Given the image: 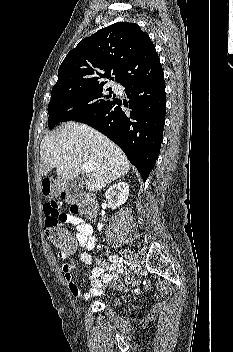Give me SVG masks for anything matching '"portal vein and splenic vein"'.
<instances>
[{
  "label": "portal vein and splenic vein",
  "instance_id": "1",
  "mask_svg": "<svg viewBox=\"0 0 233 352\" xmlns=\"http://www.w3.org/2000/svg\"><path fill=\"white\" fill-rule=\"evenodd\" d=\"M82 169L84 170V172L86 173H91L93 171V166L91 164L88 163H84L82 165Z\"/></svg>",
  "mask_w": 233,
  "mask_h": 352
}]
</instances>
